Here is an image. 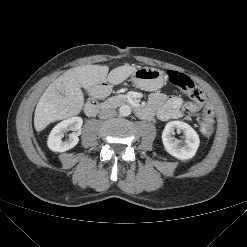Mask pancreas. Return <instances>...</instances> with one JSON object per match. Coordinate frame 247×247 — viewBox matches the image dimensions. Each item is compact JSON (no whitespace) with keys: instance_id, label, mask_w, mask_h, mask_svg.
I'll return each mask as SVG.
<instances>
[{"instance_id":"1","label":"pancreas","mask_w":247,"mask_h":247,"mask_svg":"<svg viewBox=\"0 0 247 247\" xmlns=\"http://www.w3.org/2000/svg\"><path fill=\"white\" fill-rule=\"evenodd\" d=\"M127 101L125 95H117L111 98H108L105 102L102 103V106L105 107H117Z\"/></svg>"}]
</instances>
